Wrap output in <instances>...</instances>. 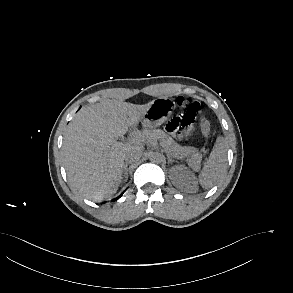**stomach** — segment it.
<instances>
[{"instance_id": "stomach-1", "label": "stomach", "mask_w": 293, "mask_h": 293, "mask_svg": "<svg viewBox=\"0 0 293 293\" xmlns=\"http://www.w3.org/2000/svg\"><path fill=\"white\" fill-rule=\"evenodd\" d=\"M174 100L160 97L152 101L151 106L141 118V123L146 128H154L163 124L174 109Z\"/></svg>"}]
</instances>
